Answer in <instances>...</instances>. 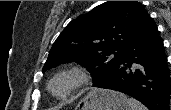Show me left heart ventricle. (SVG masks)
Masks as SVG:
<instances>
[{
  "instance_id": "b2bd125f",
  "label": "left heart ventricle",
  "mask_w": 171,
  "mask_h": 110,
  "mask_svg": "<svg viewBox=\"0 0 171 110\" xmlns=\"http://www.w3.org/2000/svg\"><path fill=\"white\" fill-rule=\"evenodd\" d=\"M67 87V80L66 79H61L58 80L54 83L53 85V91L57 94H61L64 92V90Z\"/></svg>"
}]
</instances>
